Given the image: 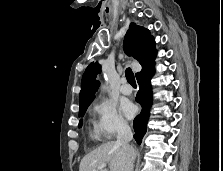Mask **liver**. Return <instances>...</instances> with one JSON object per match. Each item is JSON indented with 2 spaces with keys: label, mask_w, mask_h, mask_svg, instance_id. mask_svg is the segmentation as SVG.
I'll list each match as a JSON object with an SVG mask.
<instances>
[{
  "label": "liver",
  "mask_w": 223,
  "mask_h": 171,
  "mask_svg": "<svg viewBox=\"0 0 223 171\" xmlns=\"http://www.w3.org/2000/svg\"><path fill=\"white\" fill-rule=\"evenodd\" d=\"M132 154L135 157V150ZM128 152L117 142L109 141L87 154L80 162L79 171H124ZM108 164L107 169H98Z\"/></svg>",
  "instance_id": "1"
}]
</instances>
